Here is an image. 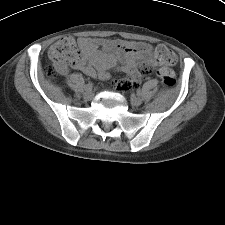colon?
<instances>
[{
	"label": "colon",
	"instance_id": "1",
	"mask_svg": "<svg viewBox=\"0 0 225 225\" xmlns=\"http://www.w3.org/2000/svg\"><path fill=\"white\" fill-rule=\"evenodd\" d=\"M52 59L61 65H73L76 61L77 52L75 50V44L72 38H62L59 40L51 50ZM177 61L176 55L170 51L165 50L160 56V62L164 66L174 65ZM154 65L152 63L143 61L137 65L134 73L128 75L125 78L115 80L114 85L117 90L125 92L133 89L143 77L148 75ZM48 76H55V68H48ZM161 80L166 86H173L176 83L174 74L168 72H161Z\"/></svg>",
	"mask_w": 225,
	"mask_h": 225
}]
</instances>
